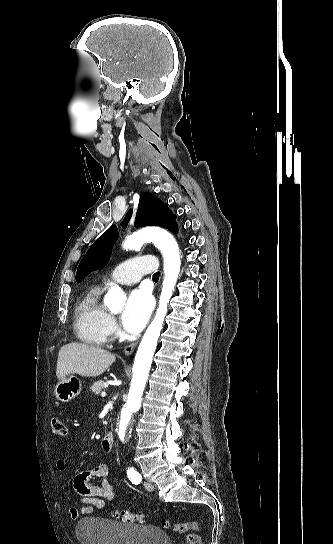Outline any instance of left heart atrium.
<instances>
[{
    "mask_svg": "<svg viewBox=\"0 0 333 544\" xmlns=\"http://www.w3.org/2000/svg\"><path fill=\"white\" fill-rule=\"evenodd\" d=\"M153 309V299L150 292L143 288L131 291L128 296L121 322L129 333H138L146 325Z\"/></svg>",
    "mask_w": 333,
    "mask_h": 544,
    "instance_id": "39dd6f15",
    "label": "left heart atrium"
}]
</instances>
